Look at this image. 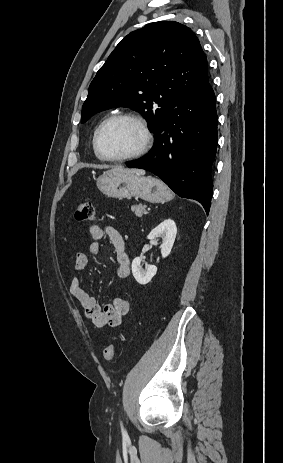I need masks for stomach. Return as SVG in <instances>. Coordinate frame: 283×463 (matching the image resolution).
I'll list each match as a JSON object with an SVG mask.
<instances>
[{"instance_id": "obj_1", "label": "stomach", "mask_w": 283, "mask_h": 463, "mask_svg": "<svg viewBox=\"0 0 283 463\" xmlns=\"http://www.w3.org/2000/svg\"><path fill=\"white\" fill-rule=\"evenodd\" d=\"M97 186L106 196L117 199L136 197L159 203L173 197L169 188L159 179L135 173L107 171L98 177Z\"/></svg>"}]
</instances>
